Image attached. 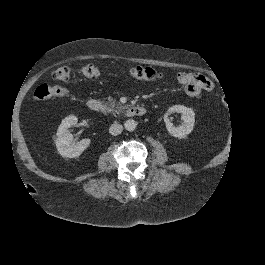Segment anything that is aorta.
<instances>
[{"instance_id":"1","label":"aorta","mask_w":265,"mask_h":265,"mask_svg":"<svg viewBox=\"0 0 265 265\" xmlns=\"http://www.w3.org/2000/svg\"><path fill=\"white\" fill-rule=\"evenodd\" d=\"M124 127L127 131H134L135 128L137 127V123L133 119H128L125 121Z\"/></svg>"}]
</instances>
